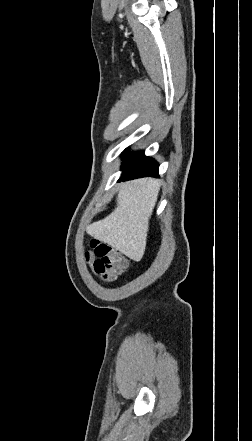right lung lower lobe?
I'll return each mask as SVG.
<instances>
[{"label": "right lung lower lobe", "instance_id": "right-lung-lower-lobe-1", "mask_svg": "<svg viewBox=\"0 0 252 441\" xmlns=\"http://www.w3.org/2000/svg\"><path fill=\"white\" fill-rule=\"evenodd\" d=\"M122 171L120 180L157 176L158 164L153 159L146 157L143 152H136L125 155Z\"/></svg>", "mask_w": 252, "mask_h": 441}]
</instances>
